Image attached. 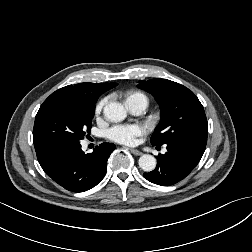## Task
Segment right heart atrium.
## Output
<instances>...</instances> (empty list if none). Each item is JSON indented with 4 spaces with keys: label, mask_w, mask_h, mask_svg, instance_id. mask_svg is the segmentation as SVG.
I'll use <instances>...</instances> for the list:
<instances>
[{
    "label": "right heart atrium",
    "mask_w": 252,
    "mask_h": 252,
    "mask_svg": "<svg viewBox=\"0 0 252 252\" xmlns=\"http://www.w3.org/2000/svg\"><path fill=\"white\" fill-rule=\"evenodd\" d=\"M105 104H106V99H102L96 104V107H95L96 116H98L102 112Z\"/></svg>",
    "instance_id": "obj_1"
}]
</instances>
